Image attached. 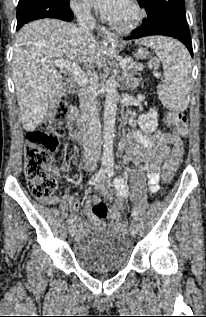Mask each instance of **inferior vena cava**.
<instances>
[{
	"label": "inferior vena cava",
	"mask_w": 206,
	"mask_h": 317,
	"mask_svg": "<svg viewBox=\"0 0 206 317\" xmlns=\"http://www.w3.org/2000/svg\"><path fill=\"white\" fill-rule=\"evenodd\" d=\"M78 21L77 34L80 43L90 44L94 38L92 30L95 27V20L91 15L90 6L87 4L78 5L75 8ZM90 85L79 90L80 109L83 123V148L84 161L86 165L95 168L101 152L100 120L96 107V95L93 90L95 72H89Z\"/></svg>",
	"instance_id": "602c4592"
}]
</instances>
